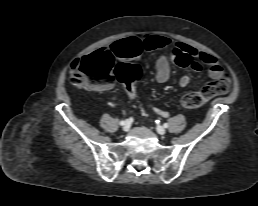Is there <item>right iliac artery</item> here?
<instances>
[{
    "label": "right iliac artery",
    "instance_id": "obj_1",
    "mask_svg": "<svg viewBox=\"0 0 258 206\" xmlns=\"http://www.w3.org/2000/svg\"><path fill=\"white\" fill-rule=\"evenodd\" d=\"M124 123H125V121H123V120H122V121H120V125H123Z\"/></svg>",
    "mask_w": 258,
    "mask_h": 206
}]
</instances>
